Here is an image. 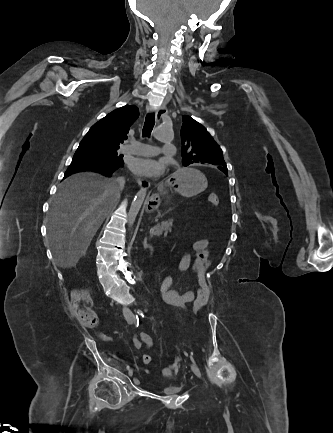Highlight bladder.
Instances as JSON below:
<instances>
[{
	"label": "bladder",
	"mask_w": 333,
	"mask_h": 433,
	"mask_svg": "<svg viewBox=\"0 0 333 433\" xmlns=\"http://www.w3.org/2000/svg\"><path fill=\"white\" fill-rule=\"evenodd\" d=\"M181 391L182 386L180 385H167L161 389V393L165 396H177Z\"/></svg>",
	"instance_id": "obj_1"
}]
</instances>
